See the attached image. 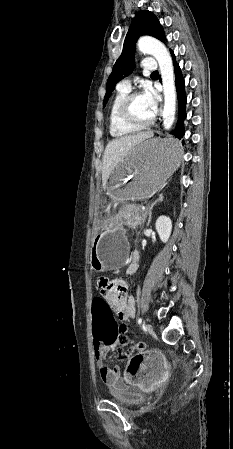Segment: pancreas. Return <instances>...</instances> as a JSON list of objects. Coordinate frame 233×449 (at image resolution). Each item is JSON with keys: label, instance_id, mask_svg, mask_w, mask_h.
<instances>
[{"label": "pancreas", "instance_id": "1", "mask_svg": "<svg viewBox=\"0 0 233 449\" xmlns=\"http://www.w3.org/2000/svg\"><path fill=\"white\" fill-rule=\"evenodd\" d=\"M147 213L139 207L130 205L119 213V220L130 227H138L144 224Z\"/></svg>", "mask_w": 233, "mask_h": 449}]
</instances>
